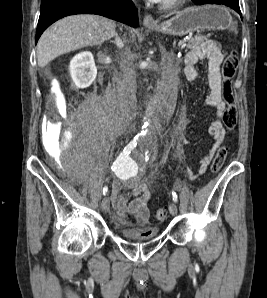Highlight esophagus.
Segmentation results:
<instances>
[{
  "label": "esophagus",
  "mask_w": 267,
  "mask_h": 298,
  "mask_svg": "<svg viewBox=\"0 0 267 298\" xmlns=\"http://www.w3.org/2000/svg\"><path fill=\"white\" fill-rule=\"evenodd\" d=\"M143 24L145 26H155L157 25L155 19L153 18V16L147 12H144L143 15Z\"/></svg>",
  "instance_id": "34e87169"
}]
</instances>
